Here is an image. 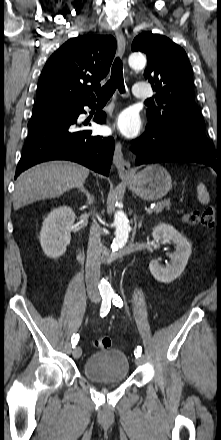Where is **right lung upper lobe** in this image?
Returning <instances> with one entry per match:
<instances>
[{
    "label": "right lung upper lobe",
    "instance_id": "1",
    "mask_svg": "<svg viewBox=\"0 0 221 440\" xmlns=\"http://www.w3.org/2000/svg\"><path fill=\"white\" fill-rule=\"evenodd\" d=\"M115 51L116 40L112 36L69 39L42 70L33 112L95 101L92 90L108 74Z\"/></svg>",
    "mask_w": 221,
    "mask_h": 440
}]
</instances>
